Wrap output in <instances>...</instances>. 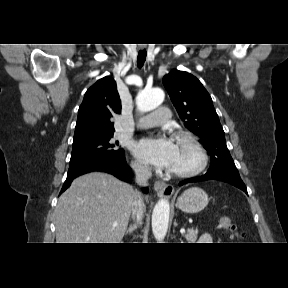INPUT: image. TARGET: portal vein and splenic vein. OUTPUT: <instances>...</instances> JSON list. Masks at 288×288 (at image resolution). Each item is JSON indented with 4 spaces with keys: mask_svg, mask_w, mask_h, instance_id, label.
Returning a JSON list of instances; mask_svg holds the SVG:
<instances>
[{
    "mask_svg": "<svg viewBox=\"0 0 288 288\" xmlns=\"http://www.w3.org/2000/svg\"><path fill=\"white\" fill-rule=\"evenodd\" d=\"M113 226H117V223H114ZM180 233H181V234H184V233H185V229H181V230H180Z\"/></svg>",
    "mask_w": 288,
    "mask_h": 288,
    "instance_id": "obj_1",
    "label": "portal vein and splenic vein"
}]
</instances>
